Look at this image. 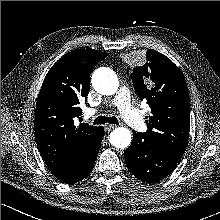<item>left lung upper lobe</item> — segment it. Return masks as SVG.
Returning a JSON list of instances; mask_svg holds the SVG:
<instances>
[{"label":"left lung upper lobe","mask_w":220,"mask_h":220,"mask_svg":"<svg viewBox=\"0 0 220 220\" xmlns=\"http://www.w3.org/2000/svg\"><path fill=\"white\" fill-rule=\"evenodd\" d=\"M143 66L131 74L134 89L146 99L152 115L143 133L161 146L183 154L189 136L190 105L186 81L181 70L165 55L153 49L146 53Z\"/></svg>","instance_id":"5c2ea615"}]
</instances>
